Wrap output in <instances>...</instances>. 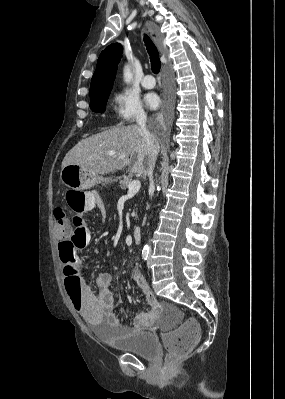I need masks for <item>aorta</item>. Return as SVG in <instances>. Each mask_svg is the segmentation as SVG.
<instances>
[{
    "label": "aorta",
    "instance_id": "aorta-1",
    "mask_svg": "<svg viewBox=\"0 0 285 399\" xmlns=\"http://www.w3.org/2000/svg\"><path fill=\"white\" fill-rule=\"evenodd\" d=\"M123 76H124V81L125 83H130L133 79V74L131 71V68L129 65H126L124 67V72H123Z\"/></svg>",
    "mask_w": 285,
    "mask_h": 399
}]
</instances>
